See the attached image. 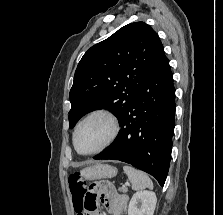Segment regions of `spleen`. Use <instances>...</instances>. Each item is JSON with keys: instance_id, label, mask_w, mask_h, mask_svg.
Here are the masks:
<instances>
[{"instance_id": "1", "label": "spleen", "mask_w": 223, "mask_h": 215, "mask_svg": "<svg viewBox=\"0 0 223 215\" xmlns=\"http://www.w3.org/2000/svg\"><path fill=\"white\" fill-rule=\"evenodd\" d=\"M124 173H127L129 181L132 183V189H145V187H150L153 189V183L144 171H139L135 167H130V165H124Z\"/></svg>"}]
</instances>
